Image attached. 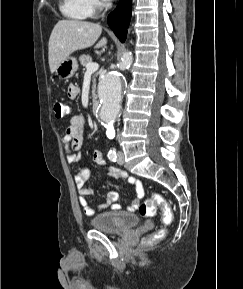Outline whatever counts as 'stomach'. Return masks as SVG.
<instances>
[{"instance_id": "stomach-1", "label": "stomach", "mask_w": 243, "mask_h": 289, "mask_svg": "<svg viewBox=\"0 0 243 289\" xmlns=\"http://www.w3.org/2000/svg\"><path fill=\"white\" fill-rule=\"evenodd\" d=\"M78 69V62L75 57H67L56 69V75L61 79H68L74 75Z\"/></svg>"}]
</instances>
